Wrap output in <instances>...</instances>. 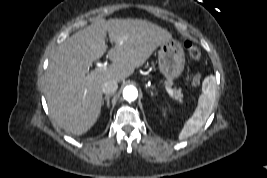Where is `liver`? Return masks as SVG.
<instances>
[{"mask_svg":"<svg viewBox=\"0 0 267 178\" xmlns=\"http://www.w3.org/2000/svg\"><path fill=\"white\" fill-rule=\"evenodd\" d=\"M112 64L103 72L89 66L106 50ZM172 35L141 19H96L67 38L52 55L44 80V94L52 119L67 133L82 135L95 124L101 111L102 84L122 81L142 66L154 50Z\"/></svg>","mask_w":267,"mask_h":178,"instance_id":"1","label":"liver"}]
</instances>
